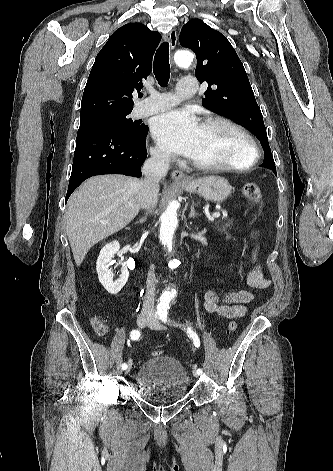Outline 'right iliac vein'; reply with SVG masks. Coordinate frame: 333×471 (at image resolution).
Instances as JSON below:
<instances>
[{
	"label": "right iliac vein",
	"instance_id": "obj_1",
	"mask_svg": "<svg viewBox=\"0 0 333 471\" xmlns=\"http://www.w3.org/2000/svg\"><path fill=\"white\" fill-rule=\"evenodd\" d=\"M150 321H151V317L146 314H140L137 318V324L139 327L146 326ZM131 368H132V361L130 360L128 362L127 368L125 369V373L128 374L131 371Z\"/></svg>",
	"mask_w": 333,
	"mask_h": 471
}]
</instances>
